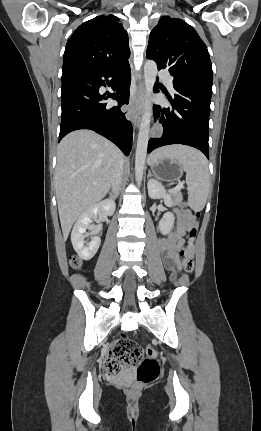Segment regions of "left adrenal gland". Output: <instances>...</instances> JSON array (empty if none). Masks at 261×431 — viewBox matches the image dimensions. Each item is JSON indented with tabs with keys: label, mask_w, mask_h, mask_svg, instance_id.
<instances>
[{
	"label": "left adrenal gland",
	"mask_w": 261,
	"mask_h": 431,
	"mask_svg": "<svg viewBox=\"0 0 261 431\" xmlns=\"http://www.w3.org/2000/svg\"><path fill=\"white\" fill-rule=\"evenodd\" d=\"M150 176H152V174H151V172L149 171V173H148V177H150Z\"/></svg>",
	"instance_id": "1"
}]
</instances>
